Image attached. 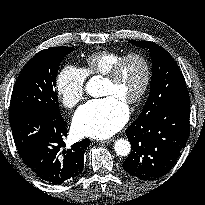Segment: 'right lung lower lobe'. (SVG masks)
I'll return each mask as SVG.
<instances>
[{
	"instance_id": "1",
	"label": "right lung lower lobe",
	"mask_w": 205,
	"mask_h": 205,
	"mask_svg": "<svg viewBox=\"0 0 205 205\" xmlns=\"http://www.w3.org/2000/svg\"><path fill=\"white\" fill-rule=\"evenodd\" d=\"M13 138L23 162L41 180L62 184L83 170L84 152L90 144L84 139L64 149L67 124L33 111L9 112Z\"/></svg>"
}]
</instances>
